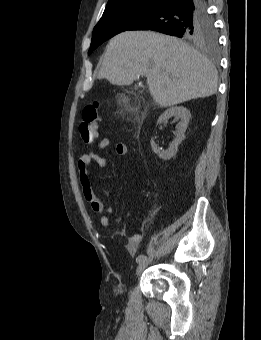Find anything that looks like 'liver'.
Here are the masks:
<instances>
[{"instance_id": "obj_1", "label": "liver", "mask_w": 261, "mask_h": 340, "mask_svg": "<svg viewBox=\"0 0 261 340\" xmlns=\"http://www.w3.org/2000/svg\"><path fill=\"white\" fill-rule=\"evenodd\" d=\"M147 78L160 107L204 98L217 91V71L199 51L176 37L152 31H126L107 45L98 78L131 85Z\"/></svg>"}]
</instances>
